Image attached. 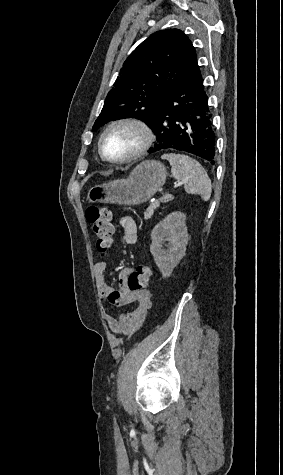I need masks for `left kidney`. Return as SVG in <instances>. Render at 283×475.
I'll return each instance as SVG.
<instances>
[{
  "instance_id": "1",
  "label": "left kidney",
  "mask_w": 283,
  "mask_h": 475,
  "mask_svg": "<svg viewBox=\"0 0 283 475\" xmlns=\"http://www.w3.org/2000/svg\"><path fill=\"white\" fill-rule=\"evenodd\" d=\"M150 251L159 267L162 277H170L174 267L185 255L188 243L186 214L172 212L152 230ZM164 241H169L168 249H162Z\"/></svg>"
}]
</instances>
